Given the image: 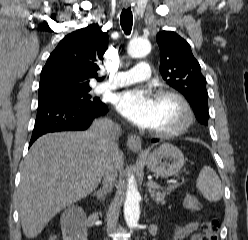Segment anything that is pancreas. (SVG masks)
Returning a JSON list of instances; mask_svg holds the SVG:
<instances>
[{
    "label": "pancreas",
    "mask_w": 248,
    "mask_h": 240,
    "mask_svg": "<svg viewBox=\"0 0 248 240\" xmlns=\"http://www.w3.org/2000/svg\"><path fill=\"white\" fill-rule=\"evenodd\" d=\"M160 189L162 191H160ZM172 187H169L167 189H163L160 186H155V187H149V192L151 193V196L153 199H155V201L157 203H161L162 205L165 204V200L164 198L166 197V195L169 194V192L172 190Z\"/></svg>",
    "instance_id": "pancreas-1"
}]
</instances>
